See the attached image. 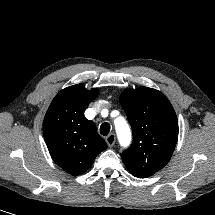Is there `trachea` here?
<instances>
[{"label": "trachea", "mask_w": 215, "mask_h": 215, "mask_svg": "<svg viewBox=\"0 0 215 215\" xmlns=\"http://www.w3.org/2000/svg\"><path fill=\"white\" fill-rule=\"evenodd\" d=\"M110 131V124L105 122V123H102L101 126H100V133L103 135V136H107L108 133Z\"/></svg>", "instance_id": "obj_1"}]
</instances>
